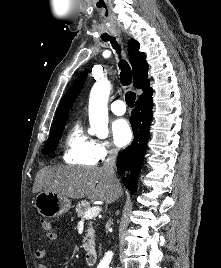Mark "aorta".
<instances>
[{
	"mask_svg": "<svg viewBox=\"0 0 221 268\" xmlns=\"http://www.w3.org/2000/svg\"><path fill=\"white\" fill-rule=\"evenodd\" d=\"M111 84L107 79L98 80L92 87L89 98L90 131L100 138L108 135V98Z\"/></svg>",
	"mask_w": 221,
	"mask_h": 268,
	"instance_id": "aorta-1",
	"label": "aorta"
}]
</instances>
